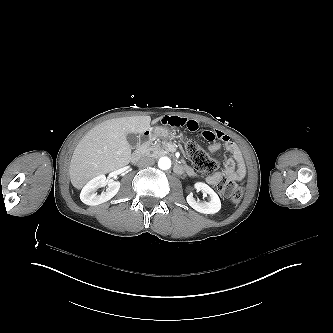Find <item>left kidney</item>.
I'll list each match as a JSON object with an SVG mask.
<instances>
[{
  "mask_svg": "<svg viewBox=\"0 0 333 333\" xmlns=\"http://www.w3.org/2000/svg\"><path fill=\"white\" fill-rule=\"evenodd\" d=\"M194 187L197 190H202L204 193L209 194L210 201L209 202H199L196 201L193 197V194L190 193L186 200L187 203L196 211L204 214H214L217 213L221 209V201L215 191L210 188L207 184L203 182L195 183Z\"/></svg>",
  "mask_w": 333,
  "mask_h": 333,
  "instance_id": "5707ae66",
  "label": "left kidney"
}]
</instances>
